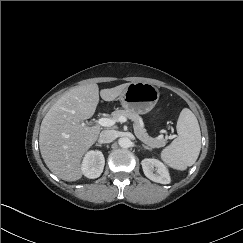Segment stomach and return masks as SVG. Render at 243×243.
Segmentation results:
<instances>
[{"label": "stomach", "instance_id": "obj_1", "mask_svg": "<svg viewBox=\"0 0 243 243\" xmlns=\"http://www.w3.org/2000/svg\"><path fill=\"white\" fill-rule=\"evenodd\" d=\"M159 96L160 92L153 84L132 82L120 94L119 101L127 111L146 114L154 108L159 100Z\"/></svg>", "mask_w": 243, "mask_h": 243}]
</instances>
